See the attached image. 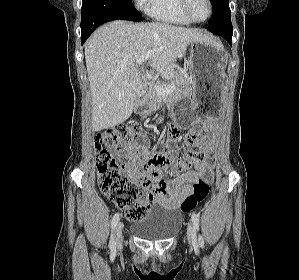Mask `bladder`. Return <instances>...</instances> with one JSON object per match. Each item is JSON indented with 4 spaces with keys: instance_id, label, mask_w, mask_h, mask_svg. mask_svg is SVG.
Instances as JSON below:
<instances>
[{
    "instance_id": "31cf9c89",
    "label": "bladder",
    "mask_w": 299,
    "mask_h": 280,
    "mask_svg": "<svg viewBox=\"0 0 299 280\" xmlns=\"http://www.w3.org/2000/svg\"><path fill=\"white\" fill-rule=\"evenodd\" d=\"M182 225V215L177 210L158 209L134 223V235L147 240H165L174 236Z\"/></svg>"
}]
</instances>
